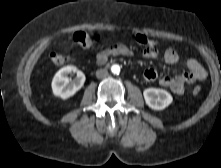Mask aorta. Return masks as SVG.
<instances>
[{
	"label": "aorta",
	"instance_id": "762f6f07",
	"mask_svg": "<svg viewBox=\"0 0 221 168\" xmlns=\"http://www.w3.org/2000/svg\"><path fill=\"white\" fill-rule=\"evenodd\" d=\"M111 72L113 74H117L118 75L120 73V66L117 65V64L112 65L111 66Z\"/></svg>",
	"mask_w": 221,
	"mask_h": 168
}]
</instances>
